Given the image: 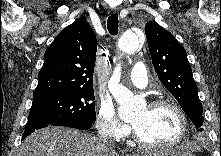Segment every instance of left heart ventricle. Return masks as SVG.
I'll list each match as a JSON object with an SVG mask.
<instances>
[{"label":"left heart ventricle","mask_w":221,"mask_h":156,"mask_svg":"<svg viewBox=\"0 0 221 156\" xmlns=\"http://www.w3.org/2000/svg\"><path fill=\"white\" fill-rule=\"evenodd\" d=\"M132 124L143 139L151 143L164 144L172 141L180 132V120L170 107L152 109L149 106L136 114Z\"/></svg>","instance_id":"1"}]
</instances>
